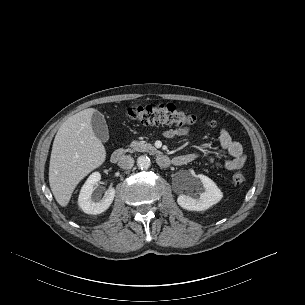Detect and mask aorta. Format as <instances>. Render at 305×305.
Instances as JSON below:
<instances>
[{"mask_svg": "<svg viewBox=\"0 0 305 305\" xmlns=\"http://www.w3.org/2000/svg\"><path fill=\"white\" fill-rule=\"evenodd\" d=\"M137 165L141 169H148L151 166L150 158L145 155L138 157Z\"/></svg>", "mask_w": 305, "mask_h": 305, "instance_id": "1", "label": "aorta"}]
</instances>
